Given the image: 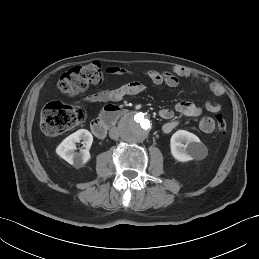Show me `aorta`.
I'll use <instances>...</instances> for the list:
<instances>
[{
    "instance_id": "obj_1",
    "label": "aorta",
    "mask_w": 259,
    "mask_h": 259,
    "mask_svg": "<svg viewBox=\"0 0 259 259\" xmlns=\"http://www.w3.org/2000/svg\"><path fill=\"white\" fill-rule=\"evenodd\" d=\"M151 129L150 121L143 114L126 116L121 122L122 138L130 143L142 142Z\"/></svg>"
}]
</instances>
